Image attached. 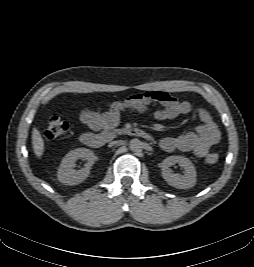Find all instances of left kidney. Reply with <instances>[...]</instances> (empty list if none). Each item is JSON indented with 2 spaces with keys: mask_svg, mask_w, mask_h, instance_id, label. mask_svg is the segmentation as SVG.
Returning a JSON list of instances; mask_svg holds the SVG:
<instances>
[{
  "mask_svg": "<svg viewBox=\"0 0 254 267\" xmlns=\"http://www.w3.org/2000/svg\"><path fill=\"white\" fill-rule=\"evenodd\" d=\"M179 164L184 169V175L174 174L171 170V166ZM162 177L165 181L178 189H189L196 184V169L186 157L183 156H169L165 158L161 163Z\"/></svg>",
  "mask_w": 254,
  "mask_h": 267,
  "instance_id": "1",
  "label": "left kidney"
}]
</instances>
